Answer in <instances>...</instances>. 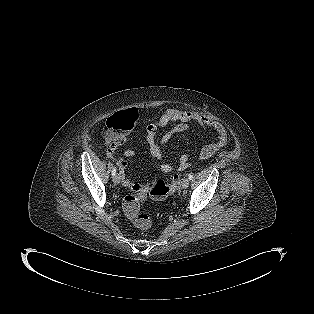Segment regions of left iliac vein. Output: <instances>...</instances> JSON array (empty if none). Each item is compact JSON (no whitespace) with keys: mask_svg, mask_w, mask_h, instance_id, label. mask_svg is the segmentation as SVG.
Segmentation results:
<instances>
[{"mask_svg":"<svg viewBox=\"0 0 314 314\" xmlns=\"http://www.w3.org/2000/svg\"><path fill=\"white\" fill-rule=\"evenodd\" d=\"M189 179L188 178H185V179H183V181H182V188L183 189H186V188H188V186H189Z\"/></svg>","mask_w":314,"mask_h":314,"instance_id":"1","label":"left iliac vein"}]
</instances>
